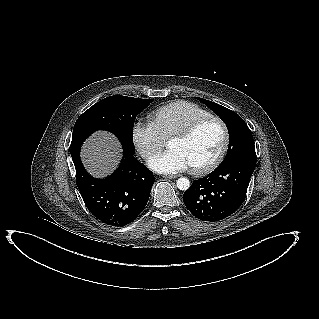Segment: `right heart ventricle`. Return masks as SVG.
<instances>
[{
    "label": "right heart ventricle",
    "instance_id": "obj_1",
    "mask_svg": "<svg viewBox=\"0 0 319 319\" xmlns=\"http://www.w3.org/2000/svg\"><path fill=\"white\" fill-rule=\"evenodd\" d=\"M209 115H211L209 111L197 104L176 100L156 108L150 113L149 118L166 140L192 121Z\"/></svg>",
    "mask_w": 319,
    "mask_h": 319
}]
</instances>
